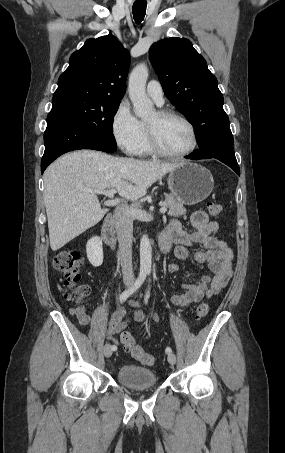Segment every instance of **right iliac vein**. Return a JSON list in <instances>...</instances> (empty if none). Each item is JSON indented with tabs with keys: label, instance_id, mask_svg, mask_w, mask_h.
Segmentation results:
<instances>
[{
	"label": "right iliac vein",
	"instance_id": "63e3f726",
	"mask_svg": "<svg viewBox=\"0 0 285 453\" xmlns=\"http://www.w3.org/2000/svg\"><path fill=\"white\" fill-rule=\"evenodd\" d=\"M128 285V284H127ZM104 356L109 358L112 355V348L110 344H106L103 348Z\"/></svg>",
	"mask_w": 285,
	"mask_h": 453
}]
</instances>
